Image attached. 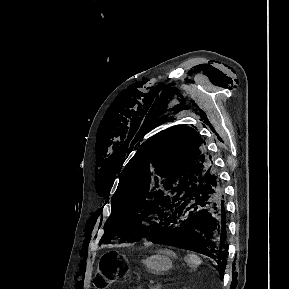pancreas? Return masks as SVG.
Instances as JSON below:
<instances>
[{
  "instance_id": "obj_1",
  "label": "pancreas",
  "mask_w": 289,
  "mask_h": 289,
  "mask_svg": "<svg viewBox=\"0 0 289 289\" xmlns=\"http://www.w3.org/2000/svg\"><path fill=\"white\" fill-rule=\"evenodd\" d=\"M150 289H159L158 286H151Z\"/></svg>"
}]
</instances>
